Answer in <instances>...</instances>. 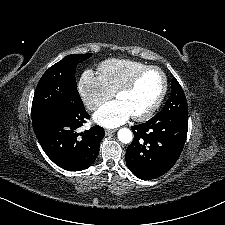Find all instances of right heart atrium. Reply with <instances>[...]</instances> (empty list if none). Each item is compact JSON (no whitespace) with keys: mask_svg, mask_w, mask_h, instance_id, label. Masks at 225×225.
<instances>
[{"mask_svg":"<svg viewBox=\"0 0 225 225\" xmlns=\"http://www.w3.org/2000/svg\"><path fill=\"white\" fill-rule=\"evenodd\" d=\"M78 89L83 102L90 110H96L113 96L100 76L89 70L82 73Z\"/></svg>","mask_w":225,"mask_h":225,"instance_id":"right-heart-atrium-1","label":"right heart atrium"}]
</instances>
